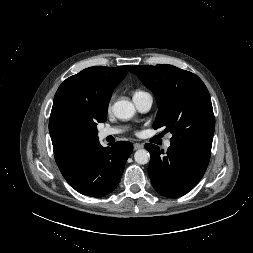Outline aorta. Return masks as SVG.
Masks as SVG:
<instances>
[{"mask_svg": "<svg viewBox=\"0 0 253 253\" xmlns=\"http://www.w3.org/2000/svg\"><path fill=\"white\" fill-rule=\"evenodd\" d=\"M114 115L121 120H128L135 114V107L132 102L128 100H119L112 106ZM136 163L144 165L150 160V154L145 149H139L134 154Z\"/></svg>", "mask_w": 253, "mask_h": 253, "instance_id": "762f6f07", "label": "aorta"}]
</instances>
